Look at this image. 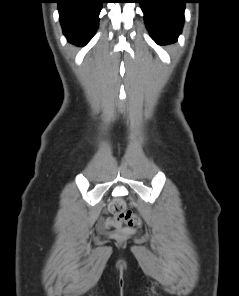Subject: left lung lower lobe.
I'll return each mask as SVG.
<instances>
[{
    "label": "left lung lower lobe",
    "instance_id": "left-lung-lower-lobe-1",
    "mask_svg": "<svg viewBox=\"0 0 239 296\" xmlns=\"http://www.w3.org/2000/svg\"><path fill=\"white\" fill-rule=\"evenodd\" d=\"M146 26L158 44L173 43L182 31L187 0H139Z\"/></svg>",
    "mask_w": 239,
    "mask_h": 296
}]
</instances>
